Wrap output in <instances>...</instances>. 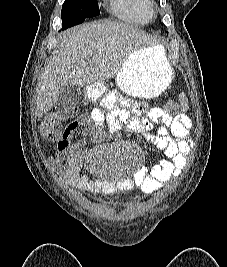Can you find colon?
<instances>
[{
    "instance_id": "5ec220e1",
    "label": "colon",
    "mask_w": 227,
    "mask_h": 267,
    "mask_svg": "<svg viewBox=\"0 0 227 267\" xmlns=\"http://www.w3.org/2000/svg\"><path fill=\"white\" fill-rule=\"evenodd\" d=\"M163 105H166V110L169 113H176L179 111V106L172 102V100H163ZM74 113L71 111L69 114ZM66 113H51L48 114L40 124V134L44 139L51 141H58V144L64 142L63 123L67 118Z\"/></svg>"
}]
</instances>
